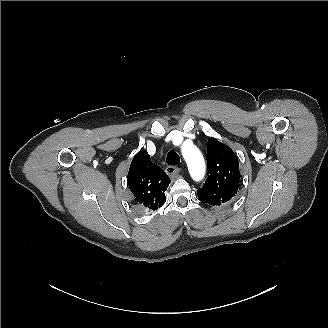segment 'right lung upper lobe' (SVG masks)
I'll return each mask as SVG.
<instances>
[{
	"label": "right lung upper lobe",
	"instance_id": "cb5924a9",
	"mask_svg": "<svg viewBox=\"0 0 328 328\" xmlns=\"http://www.w3.org/2000/svg\"><path fill=\"white\" fill-rule=\"evenodd\" d=\"M127 181L140 208L149 212L165 203V190L170 179L158 165L150 162L146 151H140L134 156Z\"/></svg>",
	"mask_w": 328,
	"mask_h": 328
}]
</instances>
